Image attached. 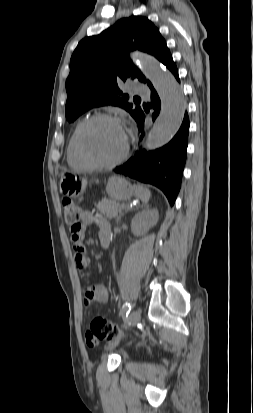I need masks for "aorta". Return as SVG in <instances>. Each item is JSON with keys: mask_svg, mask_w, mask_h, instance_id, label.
I'll return each instance as SVG.
<instances>
[{"mask_svg": "<svg viewBox=\"0 0 253 413\" xmlns=\"http://www.w3.org/2000/svg\"><path fill=\"white\" fill-rule=\"evenodd\" d=\"M134 57L161 100L160 114L144 142L147 150H154L167 144L177 133L184 117L185 101L173 75L155 58L142 53H135Z\"/></svg>", "mask_w": 253, "mask_h": 413, "instance_id": "aorta-1", "label": "aorta"}]
</instances>
